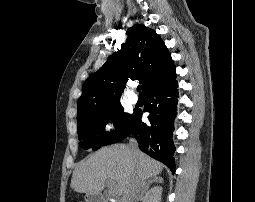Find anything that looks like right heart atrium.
Instances as JSON below:
<instances>
[{"mask_svg": "<svg viewBox=\"0 0 255 202\" xmlns=\"http://www.w3.org/2000/svg\"><path fill=\"white\" fill-rule=\"evenodd\" d=\"M115 122L113 120H107L104 124L105 131L110 133L114 130Z\"/></svg>", "mask_w": 255, "mask_h": 202, "instance_id": "right-heart-atrium-1", "label": "right heart atrium"}]
</instances>
